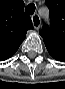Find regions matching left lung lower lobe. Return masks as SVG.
<instances>
[{
  "label": "left lung lower lobe",
  "mask_w": 65,
  "mask_h": 89,
  "mask_svg": "<svg viewBox=\"0 0 65 89\" xmlns=\"http://www.w3.org/2000/svg\"><path fill=\"white\" fill-rule=\"evenodd\" d=\"M49 54L58 61L65 62V45L43 39Z\"/></svg>",
  "instance_id": "1"
}]
</instances>
